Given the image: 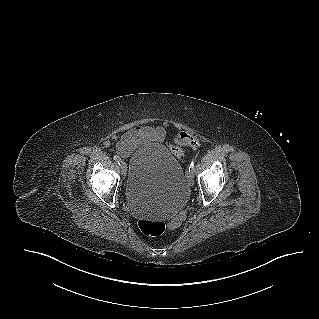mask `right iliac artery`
Masks as SVG:
<instances>
[{"instance_id":"82829eb1","label":"right iliac artery","mask_w":319,"mask_h":319,"mask_svg":"<svg viewBox=\"0 0 319 319\" xmlns=\"http://www.w3.org/2000/svg\"><path fill=\"white\" fill-rule=\"evenodd\" d=\"M114 161H116L119 165L121 164L122 160L119 158V156L114 155L113 156Z\"/></svg>"}]
</instances>
